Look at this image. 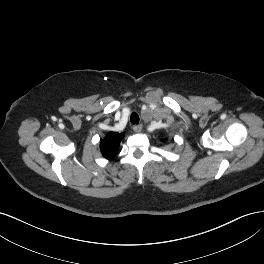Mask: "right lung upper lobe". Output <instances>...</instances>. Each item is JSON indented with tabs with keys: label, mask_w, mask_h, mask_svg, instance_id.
Instances as JSON below:
<instances>
[{
	"label": "right lung upper lobe",
	"mask_w": 264,
	"mask_h": 264,
	"mask_svg": "<svg viewBox=\"0 0 264 264\" xmlns=\"http://www.w3.org/2000/svg\"><path fill=\"white\" fill-rule=\"evenodd\" d=\"M123 137L124 133L109 132L106 137L100 141L102 156L106 159L114 158Z\"/></svg>",
	"instance_id": "obj_1"
}]
</instances>
